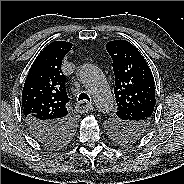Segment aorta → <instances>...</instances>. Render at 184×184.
I'll list each match as a JSON object with an SVG mask.
<instances>
[{
    "label": "aorta",
    "instance_id": "obj_1",
    "mask_svg": "<svg viewBox=\"0 0 184 184\" xmlns=\"http://www.w3.org/2000/svg\"><path fill=\"white\" fill-rule=\"evenodd\" d=\"M78 77L98 110L102 113L110 112L114 106V100L103 72L97 66L86 63L79 68Z\"/></svg>",
    "mask_w": 184,
    "mask_h": 184
}]
</instances>
